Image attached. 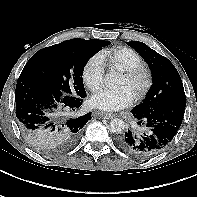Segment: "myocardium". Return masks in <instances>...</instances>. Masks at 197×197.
Here are the masks:
<instances>
[{"mask_svg":"<svg viewBox=\"0 0 197 197\" xmlns=\"http://www.w3.org/2000/svg\"><path fill=\"white\" fill-rule=\"evenodd\" d=\"M123 75L131 82L136 84L137 89L134 94L136 99L143 98L152 85V74L145 65H140L123 71Z\"/></svg>","mask_w":197,"mask_h":197,"instance_id":"myocardium-1","label":"myocardium"}]
</instances>
